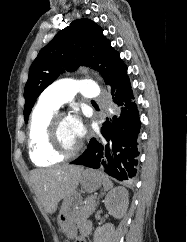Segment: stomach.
<instances>
[{
	"mask_svg": "<svg viewBox=\"0 0 187 242\" xmlns=\"http://www.w3.org/2000/svg\"><path fill=\"white\" fill-rule=\"evenodd\" d=\"M102 184L103 179L99 171L93 169L83 170L80 185L85 192H95ZM81 203L82 197L77 190H74L63 199L57 222L68 238L76 236L77 228L82 221V217L79 215Z\"/></svg>",
	"mask_w": 187,
	"mask_h": 242,
	"instance_id": "1",
	"label": "stomach"
}]
</instances>
